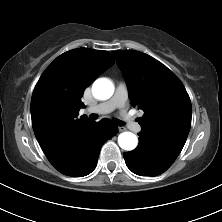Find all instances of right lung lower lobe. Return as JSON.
Returning <instances> with one entry per match:
<instances>
[{
  "label": "right lung lower lobe",
  "instance_id": "right-lung-lower-lobe-1",
  "mask_svg": "<svg viewBox=\"0 0 222 222\" xmlns=\"http://www.w3.org/2000/svg\"><path fill=\"white\" fill-rule=\"evenodd\" d=\"M117 131V126L109 119L97 123L91 121L67 162L54 167L67 176L82 177L90 174L96 168L102 145L115 136Z\"/></svg>",
  "mask_w": 222,
  "mask_h": 222
}]
</instances>
